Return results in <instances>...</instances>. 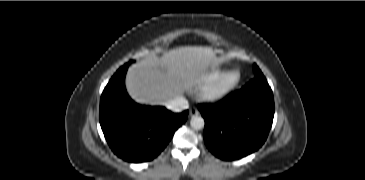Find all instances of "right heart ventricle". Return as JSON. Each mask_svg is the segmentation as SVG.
I'll return each mask as SVG.
<instances>
[{"instance_id":"1","label":"right heart ventricle","mask_w":365,"mask_h":180,"mask_svg":"<svg viewBox=\"0 0 365 180\" xmlns=\"http://www.w3.org/2000/svg\"><path fill=\"white\" fill-rule=\"evenodd\" d=\"M220 74H221L220 70L212 71L201 79L200 84L207 85L212 80H214L216 77H218Z\"/></svg>"}]
</instances>
